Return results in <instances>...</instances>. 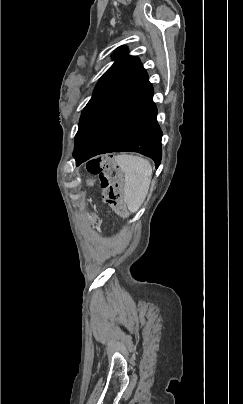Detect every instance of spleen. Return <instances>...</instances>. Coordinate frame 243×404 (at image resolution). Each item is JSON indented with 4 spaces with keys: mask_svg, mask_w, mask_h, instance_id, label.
<instances>
[{
    "mask_svg": "<svg viewBox=\"0 0 243 404\" xmlns=\"http://www.w3.org/2000/svg\"><path fill=\"white\" fill-rule=\"evenodd\" d=\"M118 166H120L125 176L124 202L132 214L141 208L150 188L152 168L150 162L142 156H116Z\"/></svg>",
    "mask_w": 243,
    "mask_h": 404,
    "instance_id": "1",
    "label": "spleen"
}]
</instances>
